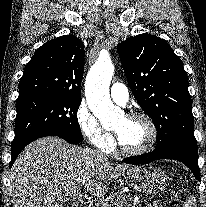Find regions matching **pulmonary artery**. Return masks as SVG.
Wrapping results in <instances>:
<instances>
[{"label": "pulmonary artery", "instance_id": "obj_1", "mask_svg": "<svg viewBox=\"0 0 206 207\" xmlns=\"http://www.w3.org/2000/svg\"><path fill=\"white\" fill-rule=\"evenodd\" d=\"M110 95L112 100L120 105L126 104L129 99V91L127 87L121 83H114L111 86Z\"/></svg>", "mask_w": 206, "mask_h": 207}]
</instances>
